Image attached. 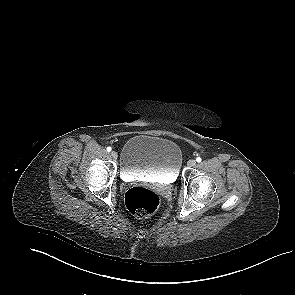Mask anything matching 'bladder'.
I'll return each instance as SVG.
<instances>
[{"label":"bladder","instance_id":"1","mask_svg":"<svg viewBox=\"0 0 295 295\" xmlns=\"http://www.w3.org/2000/svg\"><path fill=\"white\" fill-rule=\"evenodd\" d=\"M182 165V151L173 141L151 135H135L123 145L120 171L124 177L150 176L174 181Z\"/></svg>","mask_w":295,"mask_h":295}]
</instances>
